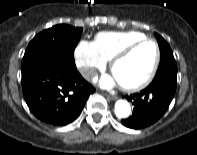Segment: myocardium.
<instances>
[{
  "label": "myocardium",
  "instance_id": "obj_1",
  "mask_svg": "<svg viewBox=\"0 0 197 155\" xmlns=\"http://www.w3.org/2000/svg\"><path fill=\"white\" fill-rule=\"evenodd\" d=\"M145 43H152L155 47L156 54H155V59H154L153 65H152L148 75L141 82L134 84V85L120 84L121 88L126 92H138L140 90H143L153 81V79L157 73V70L159 68V64H160V60H161V51H160L159 44L157 43L156 40H154L152 38H143V39L137 40L135 42H132V43L124 46L118 52H116L113 55V57L111 58L110 69H111V71H113V68L118 61L127 57L133 50H135L137 47H139L140 45L145 44Z\"/></svg>",
  "mask_w": 197,
  "mask_h": 155
}]
</instances>
